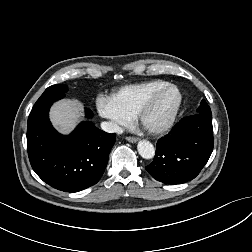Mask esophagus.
<instances>
[{
  "label": "esophagus",
  "instance_id": "obj_1",
  "mask_svg": "<svg viewBox=\"0 0 252 252\" xmlns=\"http://www.w3.org/2000/svg\"><path fill=\"white\" fill-rule=\"evenodd\" d=\"M126 140L130 143H136L138 141V138L137 137H131V136H128L126 137Z\"/></svg>",
  "mask_w": 252,
  "mask_h": 252
}]
</instances>
